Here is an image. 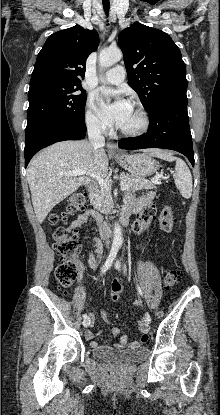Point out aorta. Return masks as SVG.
Here are the masks:
<instances>
[{"mask_svg":"<svg viewBox=\"0 0 220 415\" xmlns=\"http://www.w3.org/2000/svg\"><path fill=\"white\" fill-rule=\"evenodd\" d=\"M123 55L120 49H104L99 54V65L103 68H108L122 59ZM113 243L116 245L122 244V232L119 224L114 227Z\"/></svg>","mask_w":220,"mask_h":415,"instance_id":"762f6f07","label":"aorta"}]
</instances>
